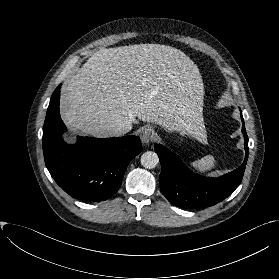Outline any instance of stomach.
Here are the masks:
<instances>
[{"instance_id": "stomach-1", "label": "stomach", "mask_w": 279, "mask_h": 279, "mask_svg": "<svg viewBox=\"0 0 279 279\" xmlns=\"http://www.w3.org/2000/svg\"><path fill=\"white\" fill-rule=\"evenodd\" d=\"M198 121L200 123H203L201 115L198 118ZM176 131H177V134H178L179 138L181 139V141H183L185 138H187L190 135V133H189V131L187 129L179 128Z\"/></svg>"}]
</instances>
